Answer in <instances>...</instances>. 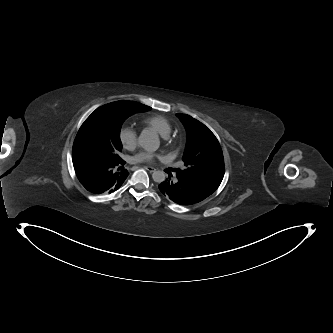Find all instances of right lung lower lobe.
Returning <instances> with one entry per match:
<instances>
[{
	"label": "right lung lower lobe",
	"instance_id": "right-lung-lower-lobe-1",
	"mask_svg": "<svg viewBox=\"0 0 333 333\" xmlns=\"http://www.w3.org/2000/svg\"><path fill=\"white\" fill-rule=\"evenodd\" d=\"M73 166L80 183L93 194H107L118 190L129 175L122 169L124 160L100 162L88 157L72 156Z\"/></svg>",
	"mask_w": 333,
	"mask_h": 333
}]
</instances>
